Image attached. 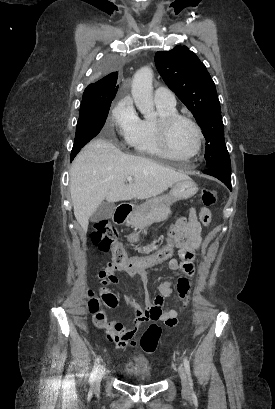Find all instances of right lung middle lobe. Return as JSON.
<instances>
[{
	"label": "right lung middle lobe",
	"mask_w": 275,
	"mask_h": 409,
	"mask_svg": "<svg viewBox=\"0 0 275 409\" xmlns=\"http://www.w3.org/2000/svg\"><path fill=\"white\" fill-rule=\"evenodd\" d=\"M97 64V73H121L120 57H101ZM112 100L81 102L80 115L77 123L76 136L71 152V161L91 139H93L105 124Z\"/></svg>",
	"instance_id": "dd1d6c3e"
}]
</instances>
